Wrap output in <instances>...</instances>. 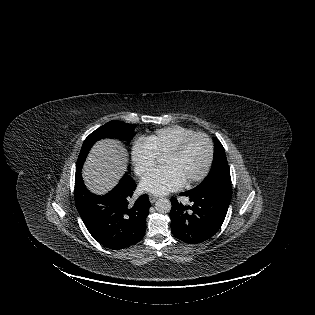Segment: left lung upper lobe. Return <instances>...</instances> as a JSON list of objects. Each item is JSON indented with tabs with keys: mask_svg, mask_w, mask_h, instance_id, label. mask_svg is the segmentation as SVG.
<instances>
[{
	"mask_svg": "<svg viewBox=\"0 0 315 315\" xmlns=\"http://www.w3.org/2000/svg\"><path fill=\"white\" fill-rule=\"evenodd\" d=\"M214 158L211 170L205 180L196 188L214 189L232 193L230 169L225 150L220 141L214 137Z\"/></svg>",
	"mask_w": 315,
	"mask_h": 315,
	"instance_id": "1",
	"label": "left lung upper lobe"
}]
</instances>
